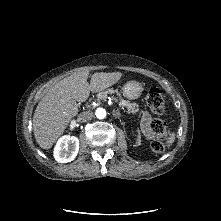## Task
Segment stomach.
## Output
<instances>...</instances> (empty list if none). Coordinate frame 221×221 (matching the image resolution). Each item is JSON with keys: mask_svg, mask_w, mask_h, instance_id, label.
Wrapping results in <instances>:
<instances>
[{"mask_svg": "<svg viewBox=\"0 0 221 221\" xmlns=\"http://www.w3.org/2000/svg\"><path fill=\"white\" fill-rule=\"evenodd\" d=\"M122 90H123V95L126 98L130 100H135L141 96L143 87H142V84L139 83L138 81L132 80V81H128L123 86Z\"/></svg>", "mask_w": 221, "mask_h": 221, "instance_id": "stomach-1", "label": "stomach"}]
</instances>
